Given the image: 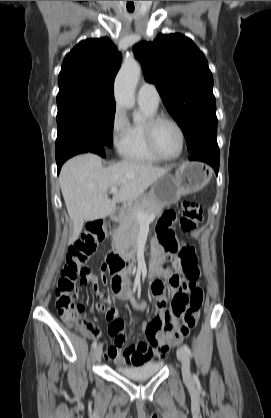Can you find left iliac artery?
<instances>
[{"mask_svg": "<svg viewBox=\"0 0 271 418\" xmlns=\"http://www.w3.org/2000/svg\"><path fill=\"white\" fill-rule=\"evenodd\" d=\"M182 348L186 351V353L189 356H191V350H190V348L186 344H183Z\"/></svg>", "mask_w": 271, "mask_h": 418, "instance_id": "left-iliac-artery-1", "label": "left iliac artery"}]
</instances>
